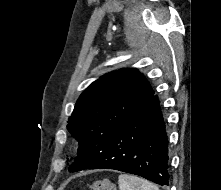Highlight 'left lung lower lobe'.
I'll return each mask as SVG.
<instances>
[{
    "mask_svg": "<svg viewBox=\"0 0 221 190\" xmlns=\"http://www.w3.org/2000/svg\"><path fill=\"white\" fill-rule=\"evenodd\" d=\"M168 138L157 95L113 134L88 169H115L168 185Z\"/></svg>",
    "mask_w": 221,
    "mask_h": 190,
    "instance_id": "left-lung-lower-lobe-1",
    "label": "left lung lower lobe"
}]
</instances>
